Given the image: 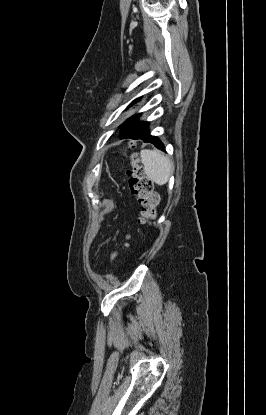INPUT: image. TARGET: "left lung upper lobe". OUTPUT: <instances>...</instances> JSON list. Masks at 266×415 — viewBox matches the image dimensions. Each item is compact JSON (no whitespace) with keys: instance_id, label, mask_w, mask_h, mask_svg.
Wrapping results in <instances>:
<instances>
[{"instance_id":"left-lung-upper-lobe-1","label":"left lung upper lobe","mask_w":266,"mask_h":415,"mask_svg":"<svg viewBox=\"0 0 266 415\" xmlns=\"http://www.w3.org/2000/svg\"><path fill=\"white\" fill-rule=\"evenodd\" d=\"M139 101V99L134 100L129 106L133 105ZM128 106V107H129ZM141 114L134 115L127 119L121 126H120V138H134L139 135H143L149 133L148 129V122L138 121V118Z\"/></svg>"}]
</instances>
